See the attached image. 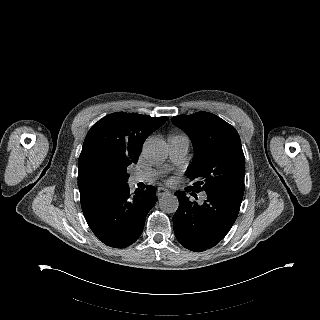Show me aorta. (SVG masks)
<instances>
[{
    "instance_id": "1",
    "label": "aorta",
    "mask_w": 320,
    "mask_h": 320,
    "mask_svg": "<svg viewBox=\"0 0 320 320\" xmlns=\"http://www.w3.org/2000/svg\"><path fill=\"white\" fill-rule=\"evenodd\" d=\"M143 153L150 162L159 164L168 157L169 148L162 139L150 138L144 143ZM159 206L166 213H175L179 206L178 198L173 194H165L160 198Z\"/></svg>"
}]
</instances>
